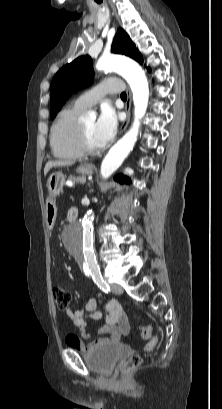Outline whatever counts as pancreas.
<instances>
[{
  "mask_svg": "<svg viewBox=\"0 0 222 409\" xmlns=\"http://www.w3.org/2000/svg\"><path fill=\"white\" fill-rule=\"evenodd\" d=\"M69 180L70 181H72L73 183H75V182H84L85 181V178L84 177H76V176H71L70 178H69Z\"/></svg>",
  "mask_w": 222,
  "mask_h": 409,
  "instance_id": "1",
  "label": "pancreas"
}]
</instances>
